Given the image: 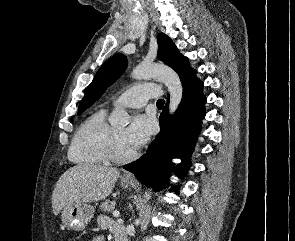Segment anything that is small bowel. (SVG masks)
<instances>
[{"label": "small bowel", "instance_id": "c3829d8e", "mask_svg": "<svg viewBox=\"0 0 295 241\" xmlns=\"http://www.w3.org/2000/svg\"><path fill=\"white\" fill-rule=\"evenodd\" d=\"M98 223L103 229L110 230L115 236L117 234H124L122 225L111 221L107 216H99ZM90 241H105V238L103 234H97Z\"/></svg>", "mask_w": 295, "mask_h": 241}]
</instances>
